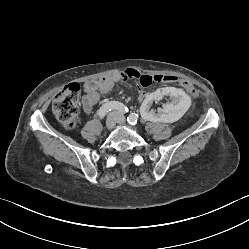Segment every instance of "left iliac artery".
<instances>
[{"instance_id": "44dca946", "label": "left iliac artery", "mask_w": 249, "mask_h": 249, "mask_svg": "<svg viewBox=\"0 0 249 249\" xmlns=\"http://www.w3.org/2000/svg\"><path fill=\"white\" fill-rule=\"evenodd\" d=\"M137 119H138V115L135 114V113H132L130 114L128 117H127V121L130 125H136L137 123Z\"/></svg>"}]
</instances>
